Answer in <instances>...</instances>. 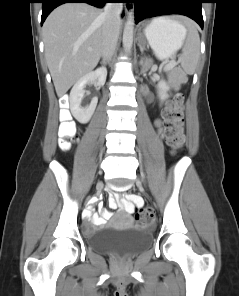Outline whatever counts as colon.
I'll list each match as a JSON object with an SVG mask.
<instances>
[{"label": "colon", "mask_w": 239, "mask_h": 296, "mask_svg": "<svg viewBox=\"0 0 239 296\" xmlns=\"http://www.w3.org/2000/svg\"><path fill=\"white\" fill-rule=\"evenodd\" d=\"M183 101L184 95L178 93L175 95L171 104L164 111L165 135L168 145L175 152L181 148L184 142L183 135ZM60 140L59 147L67 151L77 134V127L71 121L69 112L65 109L60 112ZM154 216L151 208L145 206H137L135 209V218L140 223H146Z\"/></svg>", "instance_id": "5ec220e1"}]
</instances>
